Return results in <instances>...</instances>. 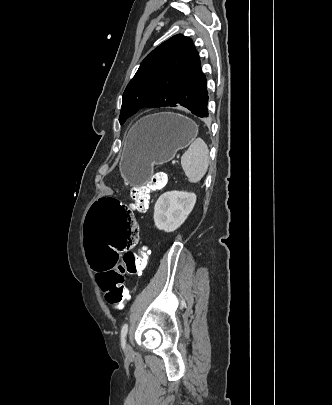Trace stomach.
Here are the masks:
<instances>
[{
	"label": "stomach",
	"instance_id": "obj_1",
	"mask_svg": "<svg viewBox=\"0 0 332 405\" xmlns=\"http://www.w3.org/2000/svg\"><path fill=\"white\" fill-rule=\"evenodd\" d=\"M197 134V124L180 114L165 112L141 118L129 131L119 164L121 175L130 186L145 185L154 165L171 161Z\"/></svg>",
	"mask_w": 332,
	"mask_h": 405
}]
</instances>
